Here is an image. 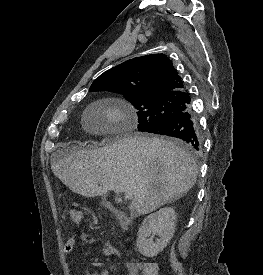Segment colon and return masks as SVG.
I'll use <instances>...</instances> for the list:
<instances>
[{
    "instance_id": "5ec220e1",
    "label": "colon",
    "mask_w": 263,
    "mask_h": 275,
    "mask_svg": "<svg viewBox=\"0 0 263 275\" xmlns=\"http://www.w3.org/2000/svg\"><path fill=\"white\" fill-rule=\"evenodd\" d=\"M69 218L74 223H79L82 220L83 214L78 209H69L68 211ZM135 265L140 268V270L144 269L147 272L151 271V267L147 266L146 264H142L141 262L135 263Z\"/></svg>"
}]
</instances>
